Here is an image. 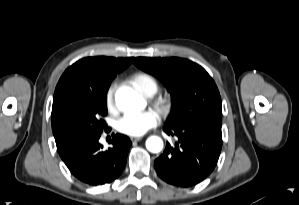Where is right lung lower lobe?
Wrapping results in <instances>:
<instances>
[{"label": "right lung lower lobe", "mask_w": 299, "mask_h": 205, "mask_svg": "<svg viewBox=\"0 0 299 205\" xmlns=\"http://www.w3.org/2000/svg\"><path fill=\"white\" fill-rule=\"evenodd\" d=\"M101 133L92 134L75 141L59 152L70 172L88 185H103L117 179L127 160L131 145L125 135H113L112 147L102 150Z\"/></svg>", "instance_id": "obj_1"}]
</instances>
